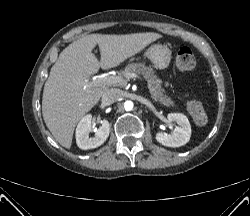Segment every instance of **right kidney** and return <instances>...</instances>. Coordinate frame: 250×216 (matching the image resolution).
<instances>
[{"instance_id":"right-kidney-1","label":"right kidney","mask_w":250,"mask_h":216,"mask_svg":"<svg viewBox=\"0 0 250 216\" xmlns=\"http://www.w3.org/2000/svg\"><path fill=\"white\" fill-rule=\"evenodd\" d=\"M91 119V115L84 116L76 128V143L83 150L99 147L106 141L110 133V124L106 119L101 121L99 129H94ZM93 130L95 135L89 137Z\"/></svg>"}]
</instances>
